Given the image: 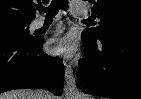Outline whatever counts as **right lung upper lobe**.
I'll return each mask as SVG.
<instances>
[{
  "instance_id": "obj_1",
  "label": "right lung upper lobe",
  "mask_w": 141,
  "mask_h": 99,
  "mask_svg": "<svg viewBox=\"0 0 141 99\" xmlns=\"http://www.w3.org/2000/svg\"><path fill=\"white\" fill-rule=\"evenodd\" d=\"M36 2L41 3V0H0V22L32 21Z\"/></svg>"
}]
</instances>
